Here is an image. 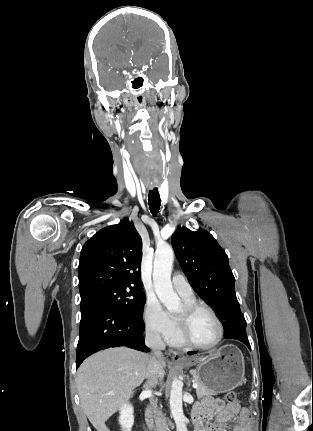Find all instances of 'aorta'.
Masks as SVG:
<instances>
[{
	"label": "aorta",
	"mask_w": 313,
	"mask_h": 431,
	"mask_svg": "<svg viewBox=\"0 0 313 431\" xmlns=\"http://www.w3.org/2000/svg\"><path fill=\"white\" fill-rule=\"evenodd\" d=\"M173 260L174 252L171 246L164 245L156 249L153 267L154 288L159 300L170 312L177 311L181 302L171 283ZM170 409L176 424V431H187L186 417L182 407V384L177 379L172 382Z\"/></svg>",
	"instance_id": "1"
}]
</instances>
